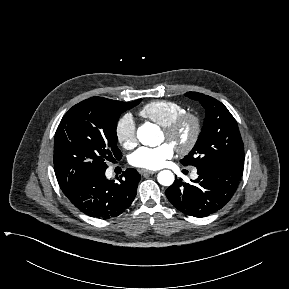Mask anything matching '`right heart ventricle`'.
<instances>
[{
    "label": "right heart ventricle",
    "instance_id": "obj_1",
    "mask_svg": "<svg viewBox=\"0 0 289 289\" xmlns=\"http://www.w3.org/2000/svg\"><path fill=\"white\" fill-rule=\"evenodd\" d=\"M185 112V107L180 103L168 100H155L147 103L139 114L164 127L173 121L177 116Z\"/></svg>",
    "mask_w": 289,
    "mask_h": 289
}]
</instances>
